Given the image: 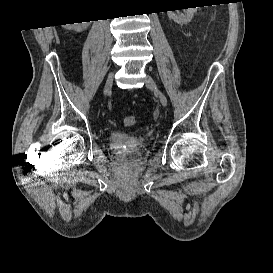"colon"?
Listing matches in <instances>:
<instances>
[{
	"instance_id": "obj_1",
	"label": "colon",
	"mask_w": 273,
	"mask_h": 273,
	"mask_svg": "<svg viewBox=\"0 0 273 273\" xmlns=\"http://www.w3.org/2000/svg\"><path fill=\"white\" fill-rule=\"evenodd\" d=\"M123 122L127 127L134 126L136 124V117L133 115L126 116Z\"/></svg>"
}]
</instances>
